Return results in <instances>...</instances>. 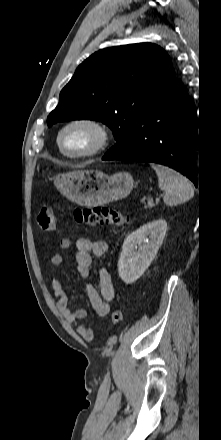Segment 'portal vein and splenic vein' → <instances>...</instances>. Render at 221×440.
Listing matches in <instances>:
<instances>
[{"instance_id": "portal-vein-and-splenic-vein-1", "label": "portal vein and splenic vein", "mask_w": 221, "mask_h": 440, "mask_svg": "<svg viewBox=\"0 0 221 440\" xmlns=\"http://www.w3.org/2000/svg\"><path fill=\"white\" fill-rule=\"evenodd\" d=\"M159 200H160V198H159V197H157V198H156V202H158Z\"/></svg>"}]
</instances>
